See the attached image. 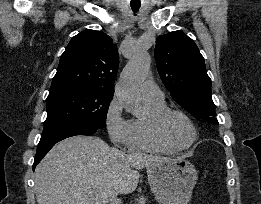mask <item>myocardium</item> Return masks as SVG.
I'll use <instances>...</instances> for the list:
<instances>
[{"mask_svg":"<svg viewBox=\"0 0 261 204\" xmlns=\"http://www.w3.org/2000/svg\"><path fill=\"white\" fill-rule=\"evenodd\" d=\"M178 116L184 119L187 124L190 126L192 132H193V138L192 140L185 146H179L176 145L167 135L166 132V124L168 120L173 117ZM155 132L158 138L167 146L174 149L175 151H183L189 149L197 140L198 138V132L196 129L195 124L191 120V118L183 111L179 109H171L167 108L166 110L162 111L155 119Z\"/></svg>","mask_w":261,"mask_h":204,"instance_id":"1","label":"myocardium"}]
</instances>
